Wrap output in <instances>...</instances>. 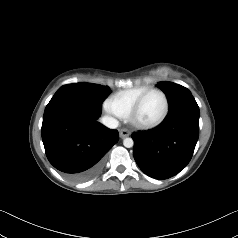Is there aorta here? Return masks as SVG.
<instances>
[{
  "instance_id": "762f6f07",
  "label": "aorta",
  "mask_w": 238,
  "mask_h": 238,
  "mask_svg": "<svg viewBox=\"0 0 238 238\" xmlns=\"http://www.w3.org/2000/svg\"><path fill=\"white\" fill-rule=\"evenodd\" d=\"M123 145H124L126 148H131V147H133V145H134V141H133L132 138H125V139L123 140Z\"/></svg>"
}]
</instances>
